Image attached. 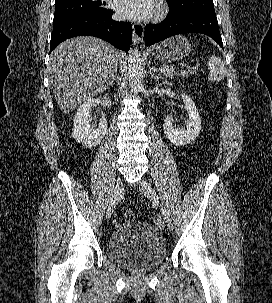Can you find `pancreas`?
Wrapping results in <instances>:
<instances>
[{
  "label": "pancreas",
  "instance_id": "1",
  "mask_svg": "<svg viewBox=\"0 0 272 303\" xmlns=\"http://www.w3.org/2000/svg\"><path fill=\"white\" fill-rule=\"evenodd\" d=\"M162 68H166L167 71L164 72V76L168 77V78H173L175 77L176 75H188V73H191L190 71L188 72H185V71H181V72H178L176 71L175 67L172 66V65H163Z\"/></svg>",
  "mask_w": 272,
  "mask_h": 303
}]
</instances>
